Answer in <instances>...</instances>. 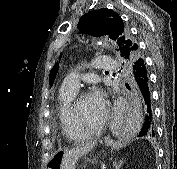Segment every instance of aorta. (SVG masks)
<instances>
[{"label": "aorta", "mask_w": 177, "mask_h": 169, "mask_svg": "<svg viewBox=\"0 0 177 169\" xmlns=\"http://www.w3.org/2000/svg\"><path fill=\"white\" fill-rule=\"evenodd\" d=\"M103 44L106 45V46H108V43L106 41H103Z\"/></svg>", "instance_id": "762f6f07"}]
</instances>
